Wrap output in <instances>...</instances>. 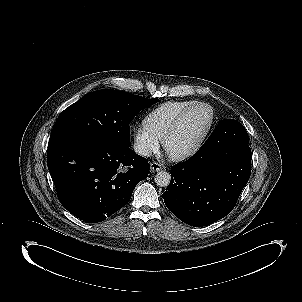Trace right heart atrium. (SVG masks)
I'll use <instances>...</instances> for the list:
<instances>
[{"mask_svg": "<svg viewBox=\"0 0 302 302\" xmlns=\"http://www.w3.org/2000/svg\"><path fill=\"white\" fill-rule=\"evenodd\" d=\"M136 145L140 153L148 154L158 150L159 140L147 131L138 130L136 135Z\"/></svg>", "mask_w": 302, "mask_h": 302, "instance_id": "d8ad5b80", "label": "right heart atrium"}]
</instances>
